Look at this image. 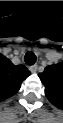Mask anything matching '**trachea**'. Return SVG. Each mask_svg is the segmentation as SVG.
I'll return each mask as SVG.
<instances>
[{
  "mask_svg": "<svg viewBox=\"0 0 63 123\" xmlns=\"http://www.w3.org/2000/svg\"><path fill=\"white\" fill-rule=\"evenodd\" d=\"M36 55L33 53V52H31V51H28L26 54H25V56H24V61H25V63L27 64V65H29V66H32V65H34L35 64V62H36Z\"/></svg>",
  "mask_w": 63,
  "mask_h": 123,
  "instance_id": "3493384b",
  "label": "trachea"
}]
</instances>
